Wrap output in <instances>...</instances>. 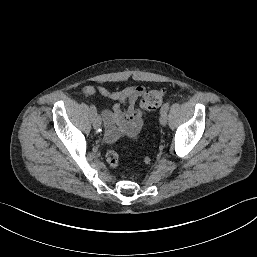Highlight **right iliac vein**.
<instances>
[{
  "mask_svg": "<svg viewBox=\"0 0 257 257\" xmlns=\"http://www.w3.org/2000/svg\"><path fill=\"white\" fill-rule=\"evenodd\" d=\"M93 127L97 130L101 127V118L99 116H96L93 119Z\"/></svg>",
  "mask_w": 257,
  "mask_h": 257,
  "instance_id": "1",
  "label": "right iliac vein"
}]
</instances>
